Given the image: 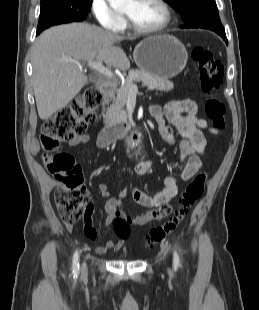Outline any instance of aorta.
<instances>
[{"mask_svg":"<svg viewBox=\"0 0 259 310\" xmlns=\"http://www.w3.org/2000/svg\"><path fill=\"white\" fill-rule=\"evenodd\" d=\"M110 3L111 7L115 10H120L124 6H126L131 0H108Z\"/></svg>","mask_w":259,"mask_h":310,"instance_id":"obj_1","label":"aorta"}]
</instances>
